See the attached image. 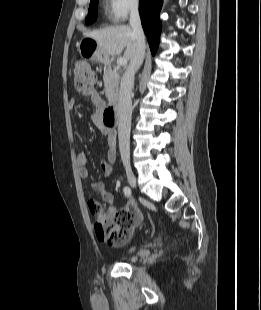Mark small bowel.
Here are the masks:
<instances>
[{
  "label": "small bowel",
  "instance_id": "1",
  "mask_svg": "<svg viewBox=\"0 0 261 310\" xmlns=\"http://www.w3.org/2000/svg\"><path fill=\"white\" fill-rule=\"evenodd\" d=\"M81 95L89 97L91 99L92 103L97 108H101L103 106V100H102L99 92L96 90V88L88 87L85 90H82ZM75 105H76V99L71 98L69 100V107L71 109H73L75 107ZM95 122H96L97 126L99 127V129L101 130L102 134L106 138L105 157L102 160L101 169H102V172L105 176H110L114 171L113 164L115 163V159H116L115 136H114L113 131L104 127L100 123V121L97 117L95 118ZM77 165H78L79 176L82 179H87L89 177V171L87 168L88 157L85 153L81 152L78 154ZM91 186L94 190L100 192L103 201H105L106 203H108L110 205L113 204L114 195L105 189L103 182H94V183H92ZM117 212H118V210L116 207L110 206L106 213L108 215H114ZM137 222L139 223L140 221H137Z\"/></svg>",
  "mask_w": 261,
  "mask_h": 310
}]
</instances>
